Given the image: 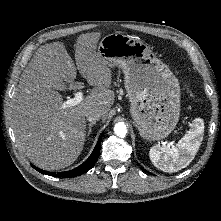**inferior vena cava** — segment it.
<instances>
[{
  "instance_id": "inferior-vena-cava-1",
  "label": "inferior vena cava",
  "mask_w": 221,
  "mask_h": 221,
  "mask_svg": "<svg viewBox=\"0 0 221 221\" xmlns=\"http://www.w3.org/2000/svg\"><path fill=\"white\" fill-rule=\"evenodd\" d=\"M86 118L89 122L97 121L101 118V113L97 110H91L86 113Z\"/></svg>"
}]
</instances>
